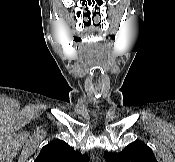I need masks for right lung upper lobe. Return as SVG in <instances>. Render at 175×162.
<instances>
[{
    "mask_svg": "<svg viewBox=\"0 0 175 162\" xmlns=\"http://www.w3.org/2000/svg\"><path fill=\"white\" fill-rule=\"evenodd\" d=\"M34 162H88V155L75 151L62 140H55L41 149Z\"/></svg>",
    "mask_w": 175,
    "mask_h": 162,
    "instance_id": "cb5924a9",
    "label": "right lung upper lobe"
}]
</instances>
